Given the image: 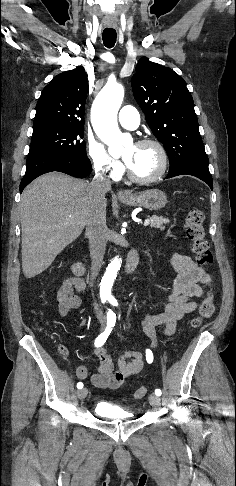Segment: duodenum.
I'll return each mask as SVG.
<instances>
[{"mask_svg":"<svg viewBox=\"0 0 236 486\" xmlns=\"http://www.w3.org/2000/svg\"><path fill=\"white\" fill-rule=\"evenodd\" d=\"M138 263V256L136 251H131L128 254L125 271L127 274H130L134 271ZM72 271L75 276L82 277L86 273V268L82 262L76 261L72 264Z\"/></svg>","mask_w":236,"mask_h":486,"instance_id":"obj_1","label":"duodenum"}]
</instances>
